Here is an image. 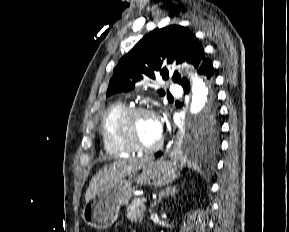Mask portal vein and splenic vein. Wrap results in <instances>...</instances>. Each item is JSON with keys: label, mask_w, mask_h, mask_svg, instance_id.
I'll list each match as a JSON object with an SVG mask.
<instances>
[{"label": "portal vein and splenic vein", "mask_w": 289, "mask_h": 232, "mask_svg": "<svg viewBox=\"0 0 289 232\" xmlns=\"http://www.w3.org/2000/svg\"><path fill=\"white\" fill-rule=\"evenodd\" d=\"M141 201L144 203V202L147 201V198L143 197V198L141 199Z\"/></svg>", "instance_id": "1"}]
</instances>
